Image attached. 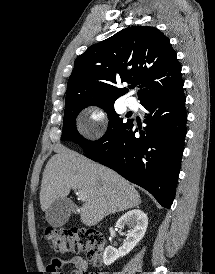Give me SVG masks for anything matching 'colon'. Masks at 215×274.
<instances>
[{
	"label": "colon",
	"instance_id": "obj_1",
	"mask_svg": "<svg viewBox=\"0 0 215 274\" xmlns=\"http://www.w3.org/2000/svg\"><path fill=\"white\" fill-rule=\"evenodd\" d=\"M45 236L51 247L61 254L86 252L88 259L92 263L98 265L101 261L104 237L95 229L72 228L69 230H58L47 227Z\"/></svg>",
	"mask_w": 215,
	"mask_h": 274
}]
</instances>
